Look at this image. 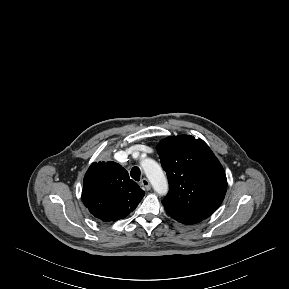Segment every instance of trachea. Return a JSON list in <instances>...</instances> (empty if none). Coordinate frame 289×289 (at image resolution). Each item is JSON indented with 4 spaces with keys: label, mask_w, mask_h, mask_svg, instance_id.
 <instances>
[{
    "label": "trachea",
    "mask_w": 289,
    "mask_h": 289,
    "mask_svg": "<svg viewBox=\"0 0 289 289\" xmlns=\"http://www.w3.org/2000/svg\"><path fill=\"white\" fill-rule=\"evenodd\" d=\"M130 175L134 180L140 181L141 171L138 167H133L130 172Z\"/></svg>",
    "instance_id": "1"
}]
</instances>
